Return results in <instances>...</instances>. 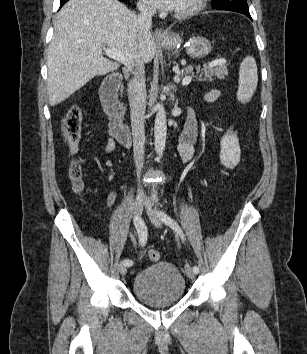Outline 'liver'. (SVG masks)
Wrapping results in <instances>:
<instances>
[{
  "label": "liver",
  "mask_w": 307,
  "mask_h": 354,
  "mask_svg": "<svg viewBox=\"0 0 307 354\" xmlns=\"http://www.w3.org/2000/svg\"><path fill=\"white\" fill-rule=\"evenodd\" d=\"M114 48L134 65L150 62L156 44L150 31L140 33L137 15L118 0H70L57 14L47 56L49 103L57 105L95 76L120 67L102 55ZM121 63V62H120Z\"/></svg>",
  "instance_id": "obj_1"
}]
</instances>
